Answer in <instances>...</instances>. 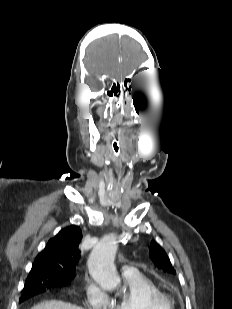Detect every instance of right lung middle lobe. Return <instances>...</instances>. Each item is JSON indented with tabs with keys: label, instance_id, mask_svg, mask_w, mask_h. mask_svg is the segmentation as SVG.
Returning a JSON list of instances; mask_svg holds the SVG:
<instances>
[{
	"label": "right lung middle lobe",
	"instance_id": "1",
	"mask_svg": "<svg viewBox=\"0 0 232 309\" xmlns=\"http://www.w3.org/2000/svg\"><path fill=\"white\" fill-rule=\"evenodd\" d=\"M70 281L71 279L68 277L51 275L48 273H38L33 276H28L20 297V303L46 291V289L51 287L67 285Z\"/></svg>",
	"mask_w": 232,
	"mask_h": 309
}]
</instances>
